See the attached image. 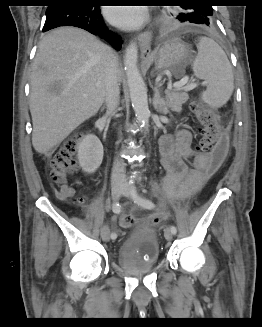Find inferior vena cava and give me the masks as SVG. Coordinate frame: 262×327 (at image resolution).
I'll return each instance as SVG.
<instances>
[{
    "instance_id": "inferior-vena-cava-1",
    "label": "inferior vena cava",
    "mask_w": 262,
    "mask_h": 327,
    "mask_svg": "<svg viewBox=\"0 0 262 327\" xmlns=\"http://www.w3.org/2000/svg\"><path fill=\"white\" fill-rule=\"evenodd\" d=\"M120 89H119V76H118V63L114 58L108 65L106 77V106L107 112L112 113L119 105ZM112 182H122L125 180L124 165L118 159L115 160L112 175Z\"/></svg>"
}]
</instances>
